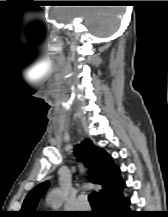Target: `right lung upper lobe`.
I'll list each match as a JSON object with an SVG mask.
<instances>
[{
  "mask_svg": "<svg viewBox=\"0 0 168 217\" xmlns=\"http://www.w3.org/2000/svg\"><path fill=\"white\" fill-rule=\"evenodd\" d=\"M76 156L90 168V182L100 184L103 189L100 192V202L105 201L125 187L120 177V169L113 163L112 158L101 148H98L89 139L82 141L74 149ZM49 182L45 181L36 186L26 196L20 217H41L43 213L35 211L40 196L47 190Z\"/></svg>",
  "mask_w": 168,
  "mask_h": 217,
  "instance_id": "1",
  "label": "right lung upper lobe"
}]
</instances>
